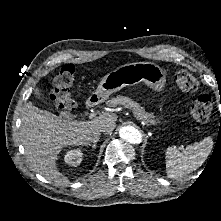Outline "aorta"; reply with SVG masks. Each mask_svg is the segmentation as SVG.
Here are the masks:
<instances>
[{"instance_id":"762f6f07","label":"aorta","mask_w":221,"mask_h":221,"mask_svg":"<svg viewBox=\"0 0 221 221\" xmlns=\"http://www.w3.org/2000/svg\"><path fill=\"white\" fill-rule=\"evenodd\" d=\"M119 136L131 144H139L142 141V135L139 130L133 126H123L119 130Z\"/></svg>"}]
</instances>
